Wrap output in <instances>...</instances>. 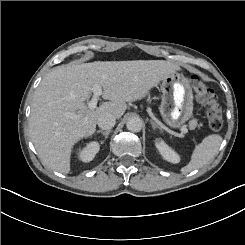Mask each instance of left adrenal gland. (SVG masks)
<instances>
[{"label": "left adrenal gland", "instance_id": "a2214340", "mask_svg": "<svg viewBox=\"0 0 245 245\" xmlns=\"http://www.w3.org/2000/svg\"><path fill=\"white\" fill-rule=\"evenodd\" d=\"M148 121L152 123V128L158 127L161 131H163V128L156 124L152 119H149Z\"/></svg>", "mask_w": 245, "mask_h": 245}]
</instances>
